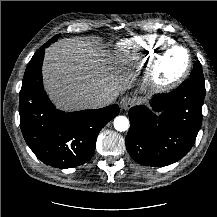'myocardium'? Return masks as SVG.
<instances>
[{"label":"myocardium","instance_id":"myocardium-1","mask_svg":"<svg viewBox=\"0 0 217 217\" xmlns=\"http://www.w3.org/2000/svg\"><path fill=\"white\" fill-rule=\"evenodd\" d=\"M174 50H182L185 52L187 62L185 67L175 76L168 80H161L160 73L162 63L165 58ZM192 56L190 51L179 44H171L160 50L151 61L148 71L145 76L144 85L152 92H168L176 88L189 74L192 68Z\"/></svg>","mask_w":217,"mask_h":217}]
</instances>
